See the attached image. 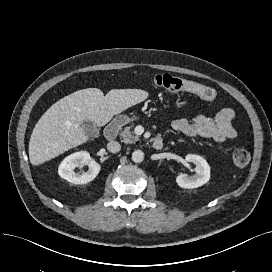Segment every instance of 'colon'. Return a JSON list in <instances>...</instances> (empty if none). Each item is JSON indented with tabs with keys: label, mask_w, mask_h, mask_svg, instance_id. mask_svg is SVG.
I'll list each match as a JSON object with an SVG mask.
<instances>
[{
	"label": "colon",
	"mask_w": 272,
	"mask_h": 272,
	"mask_svg": "<svg viewBox=\"0 0 272 272\" xmlns=\"http://www.w3.org/2000/svg\"><path fill=\"white\" fill-rule=\"evenodd\" d=\"M156 87L168 93L188 92L192 93L205 101H214L216 99V92L213 88L185 80L169 74L157 75L154 79ZM250 161V154L245 149H236L233 153V163L238 168H244Z\"/></svg>",
	"instance_id": "colon-1"
}]
</instances>
